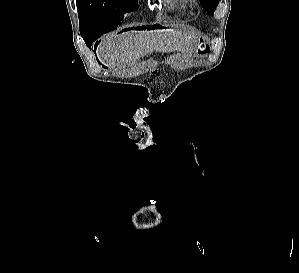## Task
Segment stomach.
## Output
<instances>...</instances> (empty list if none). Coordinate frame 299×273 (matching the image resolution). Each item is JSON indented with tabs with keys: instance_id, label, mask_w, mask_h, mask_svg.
<instances>
[{
	"instance_id": "0dacf381",
	"label": "stomach",
	"mask_w": 299,
	"mask_h": 273,
	"mask_svg": "<svg viewBox=\"0 0 299 273\" xmlns=\"http://www.w3.org/2000/svg\"><path fill=\"white\" fill-rule=\"evenodd\" d=\"M208 42L204 38H198L195 44L196 52L200 54H205L209 51Z\"/></svg>"
}]
</instances>
